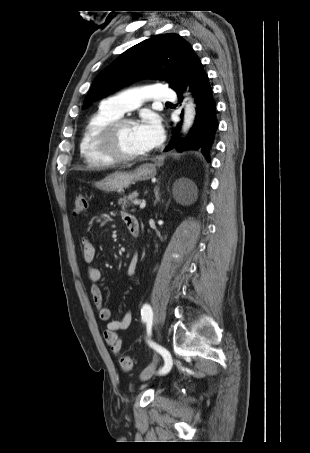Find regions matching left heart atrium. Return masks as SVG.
Masks as SVG:
<instances>
[{"instance_id": "obj_1", "label": "left heart atrium", "mask_w": 310, "mask_h": 453, "mask_svg": "<svg viewBox=\"0 0 310 453\" xmlns=\"http://www.w3.org/2000/svg\"><path fill=\"white\" fill-rule=\"evenodd\" d=\"M137 134L147 150L157 147L163 140L160 120L153 115L147 116L137 124Z\"/></svg>"}]
</instances>
